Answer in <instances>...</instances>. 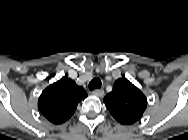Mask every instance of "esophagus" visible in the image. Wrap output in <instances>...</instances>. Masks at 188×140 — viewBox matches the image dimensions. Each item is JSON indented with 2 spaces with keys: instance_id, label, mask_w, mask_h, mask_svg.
<instances>
[{
  "instance_id": "obj_1",
  "label": "esophagus",
  "mask_w": 188,
  "mask_h": 140,
  "mask_svg": "<svg viewBox=\"0 0 188 140\" xmlns=\"http://www.w3.org/2000/svg\"><path fill=\"white\" fill-rule=\"evenodd\" d=\"M92 94L98 97L104 96V90L103 89H95L92 91Z\"/></svg>"
}]
</instances>
